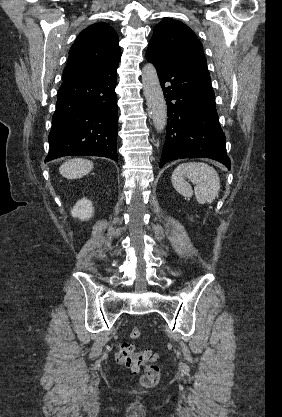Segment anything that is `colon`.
<instances>
[{
	"label": "colon",
	"mask_w": 282,
	"mask_h": 417,
	"mask_svg": "<svg viewBox=\"0 0 282 417\" xmlns=\"http://www.w3.org/2000/svg\"><path fill=\"white\" fill-rule=\"evenodd\" d=\"M131 339H140L141 331L138 327H132L129 333ZM141 358H152L154 360L155 356L150 349H141L140 352L138 349L134 348L133 345L122 342L118 344L117 350L115 353V362L119 365L125 366L127 369L132 372H139L138 368L142 367L140 360ZM161 372L157 367L147 366V369L142 373L140 382L144 387L154 386L160 379Z\"/></svg>",
	"instance_id": "5ec220e1"
}]
</instances>
